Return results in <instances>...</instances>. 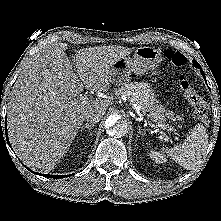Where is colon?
<instances>
[{
    "mask_svg": "<svg viewBox=\"0 0 221 221\" xmlns=\"http://www.w3.org/2000/svg\"><path fill=\"white\" fill-rule=\"evenodd\" d=\"M165 57L177 67H182L186 64V57L174 50L167 49ZM179 86L184 96L192 104L195 116L203 123H208V107L204 99L196 92L191 85L188 76L181 73L179 76Z\"/></svg>",
    "mask_w": 221,
    "mask_h": 221,
    "instance_id": "obj_1",
    "label": "colon"
}]
</instances>
